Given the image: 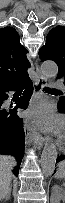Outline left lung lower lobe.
<instances>
[{
	"label": "left lung lower lobe",
	"instance_id": "obj_1",
	"mask_svg": "<svg viewBox=\"0 0 65 203\" xmlns=\"http://www.w3.org/2000/svg\"><path fill=\"white\" fill-rule=\"evenodd\" d=\"M59 108V111L62 112V113H65V110L58 107ZM60 161H65V155H62V156H59L57 159H56V163L60 162Z\"/></svg>",
	"mask_w": 65,
	"mask_h": 203
}]
</instances>
